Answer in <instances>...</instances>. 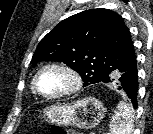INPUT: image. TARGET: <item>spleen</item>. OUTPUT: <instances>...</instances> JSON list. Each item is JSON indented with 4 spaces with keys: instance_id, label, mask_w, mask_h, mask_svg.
<instances>
[{
    "instance_id": "obj_1",
    "label": "spleen",
    "mask_w": 153,
    "mask_h": 134,
    "mask_svg": "<svg viewBox=\"0 0 153 134\" xmlns=\"http://www.w3.org/2000/svg\"><path fill=\"white\" fill-rule=\"evenodd\" d=\"M133 118L132 109L125 102L120 101L110 122L111 134H132Z\"/></svg>"
}]
</instances>
